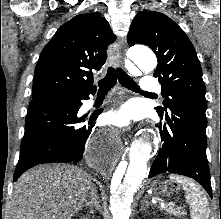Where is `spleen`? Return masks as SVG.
Returning a JSON list of instances; mask_svg holds the SVG:
<instances>
[{
	"label": "spleen",
	"instance_id": "obj_1",
	"mask_svg": "<svg viewBox=\"0 0 221 219\" xmlns=\"http://www.w3.org/2000/svg\"><path fill=\"white\" fill-rule=\"evenodd\" d=\"M171 180L182 185L186 192V201L191 207L192 219H208L210 216L209 202L199 185L192 179L180 175H170Z\"/></svg>",
	"mask_w": 221,
	"mask_h": 219
}]
</instances>
